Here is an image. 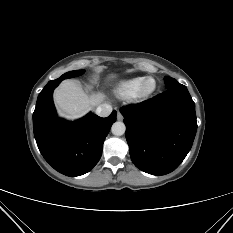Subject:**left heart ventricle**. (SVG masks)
<instances>
[{
	"label": "left heart ventricle",
	"instance_id": "left-heart-ventricle-1",
	"mask_svg": "<svg viewBox=\"0 0 233 233\" xmlns=\"http://www.w3.org/2000/svg\"><path fill=\"white\" fill-rule=\"evenodd\" d=\"M152 86H153V83L150 82V83L147 85V88L149 89V88H151Z\"/></svg>",
	"mask_w": 233,
	"mask_h": 233
}]
</instances>
